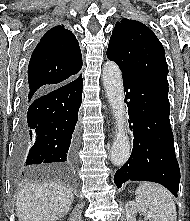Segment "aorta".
<instances>
[{
    "mask_svg": "<svg viewBox=\"0 0 190 221\" xmlns=\"http://www.w3.org/2000/svg\"><path fill=\"white\" fill-rule=\"evenodd\" d=\"M102 78L107 99L116 122V135L111 149V162L123 165L130 156V141L125 118L124 90L119 66L108 61L103 66Z\"/></svg>",
    "mask_w": 190,
    "mask_h": 221,
    "instance_id": "obj_1",
    "label": "aorta"
}]
</instances>
